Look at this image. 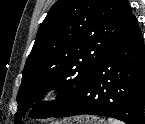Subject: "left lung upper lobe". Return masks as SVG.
I'll return each mask as SVG.
<instances>
[{
  "label": "left lung upper lobe",
  "instance_id": "left-lung-upper-lobe-1",
  "mask_svg": "<svg viewBox=\"0 0 145 124\" xmlns=\"http://www.w3.org/2000/svg\"><path fill=\"white\" fill-rule=\"evenodd\" d=\"M133 14L128 0H58L41 23L26 61L14 121L21 124L33 101L57 88V101L37 102L33 113L48 118L83 89L125 32Z\"/></svg>",
  "mask_w": 145,
  "mask_h": 124
}]
</instances>
